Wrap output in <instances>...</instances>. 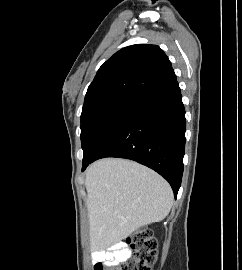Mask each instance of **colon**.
I'll list each match as a JSON object with an SVG mask.
<instances>
[{
	"instance_id": "1",
	"label": "colon",
	"mask_w": 242,
	"mask_h": 270,
	"mask_svg": "<svg viewBox=\"0 0 242 270\" xmlns=\"http://www.w3.org/2000/svg\"><path fill=\"white\" fill-rule=\"evenodd\" d=\"M126 245L131 253L127 261L113 267L115 270H152L157 260V242L149 230L140 228L128 237ZM94 270L104 268L100 263H95Z\"/></svg>"
}]
</instances>
